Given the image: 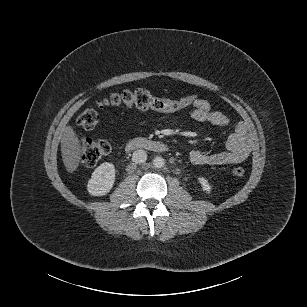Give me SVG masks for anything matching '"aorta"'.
<instances>
[{
    "instance_id": "1",
    "label": "aorta",
    "mask_w": 307,
    "mask_h": 307,
    "mask_svg": "<svg viewBox=\"0 0 307 307\" xmlns=\"http://www.w3.org/2000/svg\"><path fill=\"white\" fill-rule=\"evenodd\" d=\"M165 165L164 158L157 156L153 159V166L155 168H162Z\"/></svg>"
}]
</instances>
